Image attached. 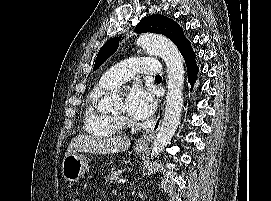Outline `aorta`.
<instances>
[{"label":"aorta","mask_w":271,"mask_h":201,"mask_svg":"<svg viewBox=\"0 0 271 201\" xmlns=\"http://www.w3.org/2000/svg\"><path fill=\"white\" fill-rule=\"evenodd\" d=\"M137 46L150 53L158 54L167 68V96L163 122L153 141L151 157L158 156L170 142L180 123L183 107L184 67L182 56L175 44L164 36L146 33L136 40ZM120 99L118 94H111L101 100L102 107H111Z\"/></svg>","instance_id":"aorta-1"}]
</instances>
